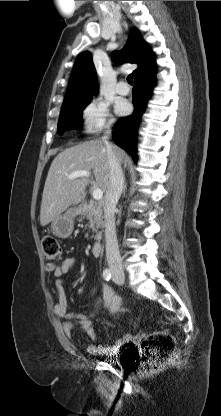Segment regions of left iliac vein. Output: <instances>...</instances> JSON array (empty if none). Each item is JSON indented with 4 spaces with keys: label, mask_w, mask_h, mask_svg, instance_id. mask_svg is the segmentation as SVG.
<instances>
[{
    "label": "left iliac vein",
    "mask_w": 221,
    "mask_h": 416,
    "mask_svg": "<svg viewBox=\"0 0 221 416\" xmlns=\"http://www.w3.org/2000/svg\"><path fill=\"white\" fill-rule=\"evenodd\" d=\"M113 281H114L115 283L119 284V285H121V284H122V282H121V281H119V280H117V279L115 278V276H114V275H113Z\"/></svg>",
    "instance_id": "4c4485c4"
}]
</instances>
